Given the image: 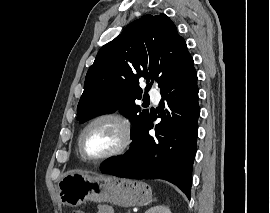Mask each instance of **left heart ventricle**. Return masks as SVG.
Returning <instances> with one entry per match:
<instances>
[{"instance_id": "1", "label": "left heart ventricle", "mask_w": 270, "mask_h": 213, "mask_svg": "<svg viewBox=\"0 0 270 213\" xmlns=\"http://www.w3.org/2000/svg\"><path fill=\"white\" fill-rule=\"evenodd\" d=\"M123 140L122 128L113 121H100L85 133L83 147L90 157H101L115 150Z\"/></svg>"}]
</instances>
